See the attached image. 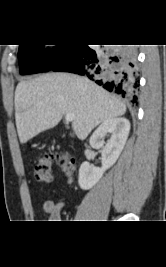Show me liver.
<instances>
[{"mask_svg": "<svg viewBox=\"0 0 166 267\" xmlns=\"http://www.w3.org/2000/svg\"><path fill=\"white\" fill-rule=\"evenodd\" d=\"M119 99L84 77L49 73L21 81L15 91V120L20 142L55 127L74 114L73 134L85 139L98 124L124 115Z\"/></svg>", "mask_w": 166, "mask_h": 267, "instance_id": "6515ba94", "label": "liver"}]
</instances>
